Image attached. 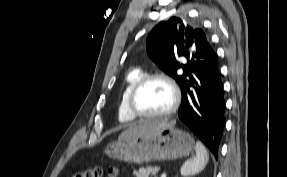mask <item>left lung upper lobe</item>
<instances>
[{"label":"left lung upper lobe","mask_w":287,"mask_h":177,"mask_svg":"<svg viewBox=\"0 0 287 177\" xmlns=\"http://www.w3.org/2000/svg\"><path fill=\"white\" fill-rule=\"evenodd\" d=\"M148 56L180 88L188 81L195 69L209 58L212 47L201 29H194L186 20L171 17L156 25L147 37ZM184 56L187 64H180L178 57ZM182 68L183 74L177 70Z\"/></svg>","instance_id":"5c2ea615"}]
</instances>
